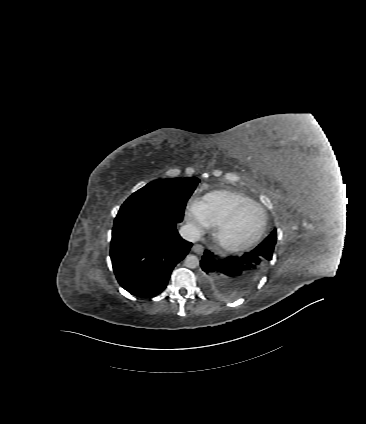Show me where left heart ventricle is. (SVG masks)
Here are the masks:
<instances>
[{"label": "left heart ventricle", "instance_id": "b2bd125f", "mask_svg": "<svg viewBox=\"0 0 366 424\" xmlns=\"http://www.w3.org/2000/svg\"><path fill=\"white\" fill-rule=\"evenodd\" d=\"M262 216L258 209L251 207L240 214L236 222L225 232V239L243 242L251 239L259 231Z\"/></svg>", "mask_w": 366, "mask_h": 424}]
</instances>
